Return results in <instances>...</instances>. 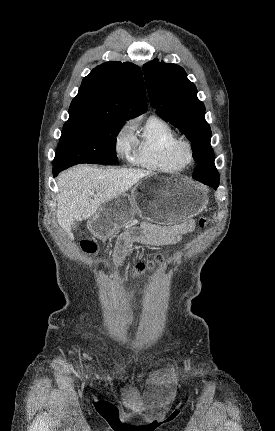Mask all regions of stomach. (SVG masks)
<instances>
[{"label": "stomach", "instance_id": "0dacf381", "mask_svg": "<svg viewBox=\"0 0 275 431\" xmlns=\"http://www.w3.org/2000/svg\"><path fill=\"white\" fill-rule=\"evenodd\" d=\"M207 195L185 178L151 175L138 182L130 194L102 204L88 222L90 232L106 239L127 226L135 214L161 225H176L206 210Z\"/></svg>", "mask_w": 275, "mask_h": 431}]
</instances>
